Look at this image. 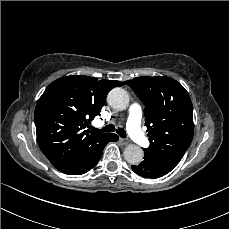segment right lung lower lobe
Masks as SVG:
<instances>
[{
  "instance_id": "right-lung-lower-lobe-1",
  "label": "right lung lower lobe",
  "mask_w": 229,
  "mask_h": 229,
  "mask_svg": "<svg viewBox=\"0 0 229 229\" xmlns=\"http://www.w3.org/2000/svg\"><path fill=\"white\" fill-rule=\"evenodd\" d=\"M119 137L116 134H105L99 143H97L87 155L78 162L74 167L70 168L65 174L80 175L91 170L100 160L103 149L108 142L117 141Z\"/></svg>"
}]
</instances>
